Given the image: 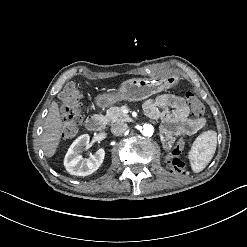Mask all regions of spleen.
Returning <instances> with one entry per match:
<instances>
[{"mask_svg":"<svg viewBox=\"0 0 247 247\" xmlns=\"http://www.w3.org/2000/svg\"><path fill=\"white\" fill-rule=\"evenodd\" d=\"M204 144L203 150H200L198 143ZM217 144V133L209 130L199 136L192 150L189 152V159L192 170L195 173L201 172L209 163L212 158V152L215 150Z\"/></svg>","mask_w":247,"mask_h":247,"instance_id":"1","label":"spleen"}]
</instances>
